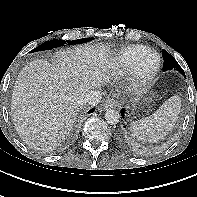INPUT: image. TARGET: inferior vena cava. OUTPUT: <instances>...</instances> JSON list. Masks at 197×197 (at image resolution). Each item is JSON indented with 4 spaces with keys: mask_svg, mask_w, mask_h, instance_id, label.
<instances>
[{
    "mask_svg": "<svg viewBox=\"0 0 197 197\" xmlns=\"http://www.w3.org/2000/svg\"><path fill=\"white\" fill-rule=\"evenodd\" d=\"M101 98L102 94L100 91L90 90L85 94L83 98V103L95 106L100 102Z\"/></svg>",
    "mask_w": 197,
    "mask_h": 197,
    "instance_id": "1",
    "label": "inferior vena cava"
}]
</instances>
